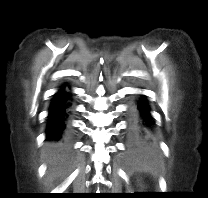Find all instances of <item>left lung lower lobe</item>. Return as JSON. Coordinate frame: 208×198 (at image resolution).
Listing matches in <instances>:
<instances>
[{"instance_id":"obj_1","label":"left lung lower lobe","mask_w":208,"mask_h":198,"mask_svg":"<svg viewBox=\"0 0 208 198\" xmlns=\"http://www.w3.org/2000/svg\"><path fill=\"white\" fill-rule=\"evenodd\" d=\"M156 149L154 131L145 99L129 111L127 125V150L131 156H146Z\"/></svg>"}]
</instances>
